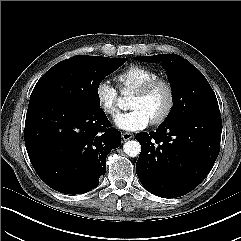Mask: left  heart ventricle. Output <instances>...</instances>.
I'll return each mask as SVG.
<instances>
[{
    "instance_id": "1",
    "label": "left heart ventricle",
    "mask_w": 241,
    "mask_h": 241,
    "mask_svg": "<svg viewBox=\"0 0 241 241\" xmlns=\"http://www.w3.org/2000/svg\"><path fill=\"white\" fill-rule=\"evenodd\" d=\"M167 104V92L162 86L155 88L147 96L141 97L136 94L133 95L129 107L131 109L142 110L149 119L158 116Z\"/></svg>"
}]
</instances>
